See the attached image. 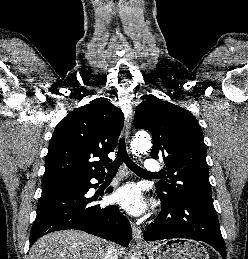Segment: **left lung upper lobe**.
<instances>
[{
	"instance_id": "1",
	"label": "left lung upper lobe",
	"mask_w": 248,
	"mask_h": 259,
	"mask_svg": "<svg viewBox=\"0 0 248 259\" xmlns=\"http://www.w3.org/2000/svg\"><path fill=\"white\" fill-rule=\"evenodd\" d=\"M134 125L152 134L151 157L165 161L168 179L155 184L160 197L213 202L202 130L188 110L150 95L137 107Z\"/></svg>"
}]
</instances>
